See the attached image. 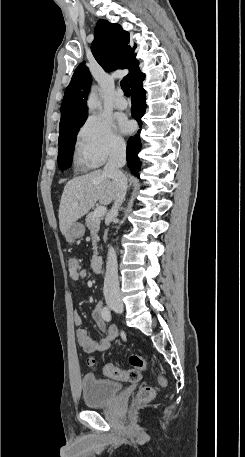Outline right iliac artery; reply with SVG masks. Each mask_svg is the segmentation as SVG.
I'll return each instance as SVG.
<instances>
[{"label": "right iliac artery", "mask_w": 245, "mask_h": 457, "mask_svg": "<svg viewBox=\"0 0 245 457\" xmlns=\"http://www.w3.org/2000/svg\"><path fill=\"white\" fill-rule=\"evenodd\" d=\"M102 317L104 320L106 321H110L111 320V313H110V309L109 307L105 306L103 309H102Z\"/></svg>", "instance_id": "82829eb1"}]
</instances>
